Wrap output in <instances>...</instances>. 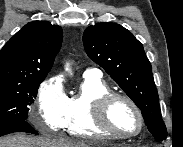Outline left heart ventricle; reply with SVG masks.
<instances>
[{
	"mask_svg": "<svg viewBox=\"0 0 183 147\" xmlns=\"http://www.w3.org/2000/svg\"><path fill=\"white\" fill-rule=\"evenodd\" d=\"M108 115L112 126L119 132L134 134L139 130L138 116L124 100H115L109 108Z\"/></svg>",
	"mask_w": 183,
	"mask_h": 147,
	"instance_id": "1",
	"label": "left heart ventricle"
}]
</instances>
